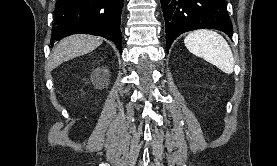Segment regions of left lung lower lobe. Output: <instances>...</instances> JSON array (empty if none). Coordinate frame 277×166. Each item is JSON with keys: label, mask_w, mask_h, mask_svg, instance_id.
<instances>
[{"label": "left lung lower lobe", "mask_w": 277, "mask_h": 166, "mask_svg": "<svg viewBox=\"0 0 277 166\" xmlns=\"http://www.w3.org/2000/svg\"><path fill=\"white\" fill-rule=\"evenodd\" d=\"M161 6L168 48L180 34L191 30L212 28L230 38L233 35L225 0H161Z\"/></svg>", "instance_id": "1"}]
</instances>
